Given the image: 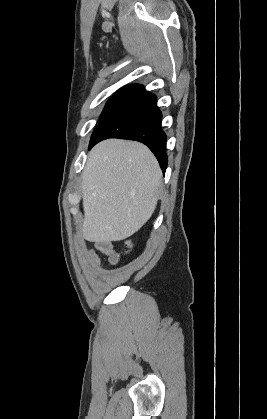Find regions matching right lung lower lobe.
Masks as SVG:
<instances>
[{
  "instance_id": "obj_1",
  "label": "right lung lower lobe",
  "mask_w": 267,
  "mask_h": 419,
  "mask_svg": "<svg viewBox=\"0 0 267 419\" xmlns=\"http://www.w3.org/2000/svg\"><path fill=\"white\" fill-rule=\"evenodd\" d=\"M161 119L156 96L140 86L104 116L94 131L89 149L107 138L139 141L150 148L165 173L168 158Z\"/></svg>"
}]
</instances>
